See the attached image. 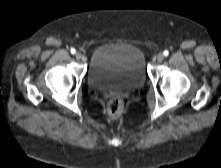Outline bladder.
I'll return each mask as SVG.
<instances>
[{
    "instance_id": "obj_1",
    "label": "bladder",
    "mask_w": 221,
    "mask_h": 168,
    "mask_svg": "<svg viewBox=\"0 0 221 168\" xmlns=\"http://www.w3.org/2000/svg\"><path fill=\"white\" fill-rule=\"evenodd\" d=\"M146 79L145 56L135 45L104 44L91 55L87 83L94 90L126 92L141 87Z\"/></svg>"
}]
</instances>
